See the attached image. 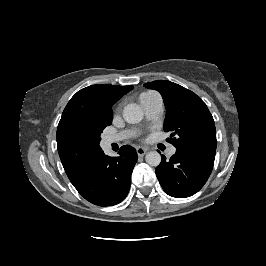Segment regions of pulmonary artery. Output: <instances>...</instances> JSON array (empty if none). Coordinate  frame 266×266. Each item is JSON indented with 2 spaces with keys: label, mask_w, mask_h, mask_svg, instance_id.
I'll return each instance as SVG.
<instances>
[{
  "label": "pulmonary artery",
  "mask_w": 266,
  "mask_h": 266,
  "mask_svg": "<svg viewBox=\"0 0 266 266\" xmlns=\"http://www.w3.org/2000/svg\"><path fill=\"white\" fill-rule=\"evenodd\" d=\"M140 104L143 108L145 117L148 120L156 119L162 112L163 109V100L162 97L156 92L144 93L140 97ZM130 131H123L119 134L108 136L105 139L107 145H110L115 142H119L131 136ZM176 152L174 146H170L167 150L168 155H173Z\"/></svg>",
  "instance_id": "pulmonary-artery-1"
}]
</instances>
